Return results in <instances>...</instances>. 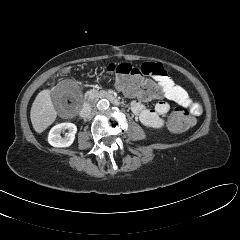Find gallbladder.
Segmentation results:
<instances>
[{
  "mask_svg": "<svg viewBox=\"0 0 240 240\" xmlns=\"http://www.w3.org/2000/svg\"><path fill=\"white\" fill-rule=\"evenodd\" d=\"M71 85L72 83L70 81L63 82L61 85L55 87L50 93L52 102L59 112H62V109L68 108L64 96L70 91Z\"/></svg>",
  "mask_w": 240,
  "mask_h": 240,
  "instance_id": "1",
  "label": "gallbladder"
}]
</instances>
